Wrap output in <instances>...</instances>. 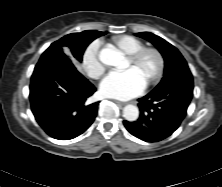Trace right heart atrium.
<instances>
[{"label": "right heart atrium", "mask_w": 222, "mask_h": 187, "mask_svg": "<svg viewBox=\"0 0 222 187\" xmlns=\"http://www.w3.org/2000/svg\"><path fill=\"white\" fill-rule=\"evenodd\" d=\"M100 42L92 41L87 45L81 57V68L91 78L97 79L105 72V66L99 56Z\"/></svg>", "instance_id": "right-heart-atrium-1"}]
</instances>
